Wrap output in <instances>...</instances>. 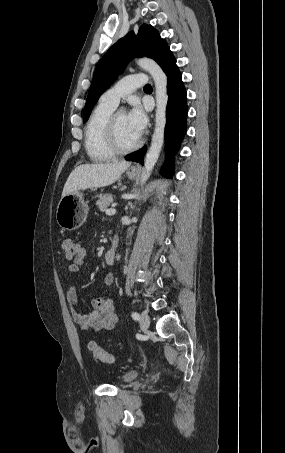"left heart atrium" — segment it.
<instances>
[{"instance_id":"left-heart-atrium-1","label":"left heart atrium","mask_w":285,"mask_h":453,"mask_svg":"<svg viewBox=\"0 0 285 453\" xmlns=\"http://www.w3.org/2000/svg\"><path fill=\"white\" fill-rule=\"evenodd\" d=\"M127 119L133 130L140 137L147 125V116L139 103H133L127 114Z\"/></svg>"}]
</instances>
